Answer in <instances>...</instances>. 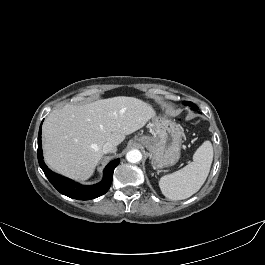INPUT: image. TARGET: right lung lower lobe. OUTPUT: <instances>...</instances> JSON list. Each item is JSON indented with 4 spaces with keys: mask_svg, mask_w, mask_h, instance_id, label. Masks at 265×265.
Wrapping results in <instances>:
<instances>
[{
    "mask_svg": "<svg viewBox=\"0 0 265 265\" xmlns=\"http://www.w3.org/2000/svg\"><path fill=\"white\" fill-rule=\"evenodd\" d=\"M42 125V124H41ZM38 161L50 183L63 195L73 199L90 200L105 194L111 186L113 172L120 159L111 161L104 169L103 180L97 184L84 186L52 172L44 163L41 147V126L38 135Z\"/></svg>",
    "mask_w": 265,
    "mask_h": 265,
    "instance_id": "1",
    "label": "right lung lower lobe"
}]
</instances>
